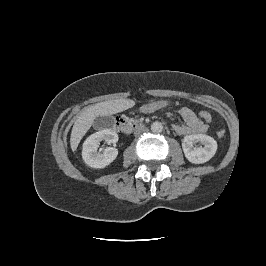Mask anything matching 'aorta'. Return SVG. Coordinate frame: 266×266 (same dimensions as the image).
Returning <instances> with one entry per match:
<instances>
[{"label": "aorta", "mask_w": 266, "mask_h": 266, "mask_svg": "<svg viewBox=\"0 0 266 266\" xmlns=\"http://www.w3.org/2000/svg\"><path fill=\"white\" fill-rule=\"evenodd\" d=\"M163 130V125L161 122H153L152 125H151V131L153 133H161Z\"/></svg>", "instance_id": "762f6f07"}]
</instances>
